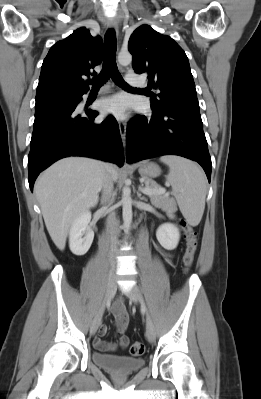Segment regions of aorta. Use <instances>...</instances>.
Returning <instances> with one entry per match:
<instances>
[{
	"label": "aorta",
	"instance_id": "obj_1",
	"mask_svg": "<svg viewBox=\"0 0 261 399\" xmlns=\"http://www.w3.org/2000/svg\"><path fill=\"white\" fill-rule=\"evenodd\" d=\"M118 62L123 66H127L132 62V55L129 52H120L118 54ZM122 216L125 231L128 232L132 223V199L131 189L125 185L122 190Z\"/></svg>",
	"mask_w": 261,
	"mask_h": 399
}]
</instances>
